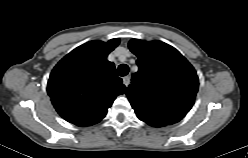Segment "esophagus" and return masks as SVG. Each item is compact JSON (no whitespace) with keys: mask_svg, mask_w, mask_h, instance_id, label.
<instances>
[{"mask_svg":"<svg viewBox=\"0 0 248 158\" xmlns=\"http://www.w3.org/2000/svg\"><path fill=\"white\" fill-rule=\"evenodd\" d=\"M130 83V78L128 76L123 77V84L127 87Z\"/></svg>","mask_w":248,"mask_h":158,"instance_id":"34e87169","label":"esophagus"}]
</instances>
